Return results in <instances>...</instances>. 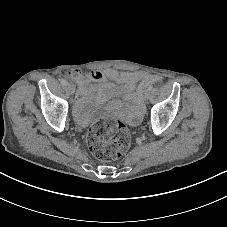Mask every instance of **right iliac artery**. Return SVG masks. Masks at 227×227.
I'll list each match as a JSON object with an SVG mask.
<instances>
[{
	"label": "right iliac artery",
	"instance_id": "right-iliac-artery-1",
	"mask_svg": "<svg viewBox=\"0 0 227 227\" xmlns=\"http://www.w3.org/2000/svg\"><path fill=\"white\" fill-rule=\"evenodd\" d=\"M61 84H62L63 86H67L68 82H67L66 80H61Z\"/></svg>",
	"mask_w": 227,
	"mask_h": 227
}]
</instances>
